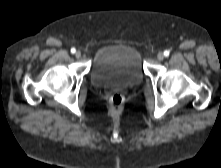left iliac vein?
Returning <instances> with one entry per match:
<instances>
[{
  "label": "left iliac vein",
  "mask_w": 221,
  "mask_h": 168,
  "mask_svg": "<svg viewBox=\"0 0 221 168\" xmlns=\"http://www.w3.org/2000/svg\"><path fill=\"white\" fill-rule=\"evenodd\" d=\"M164 57H165V55H164L163 52H159V53L157 54V59H158L159 61H162V60L164 59Z\"/></svg>",
  "instance_id": "4c4485c4"
}]
</instances>
